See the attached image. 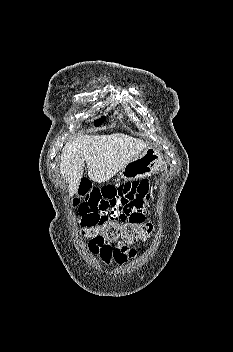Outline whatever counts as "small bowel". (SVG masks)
I'll use <instances>...</instances> for the list:
<instances>
[{"mask_svg":"<svg viewBox=\"0 0 233 352\" xmlns=\"http://www.w3.org/2000/svg\"><path fill=\"white\" fill-rule=\"evenodd\" d=\"M78 192L82 198L78 206L81 224L106 219L135 224L147 222L146 201L151 197V190L146 179L103 187H95L91 181L84 180ZM88 248L105 263L123 264L136 255L134 249L115 241L92 240Z\"/></svg>","mask_w":233,"mask_h":352,"instance_id":"obj_1","label":"small bowel"}]
</instances>
